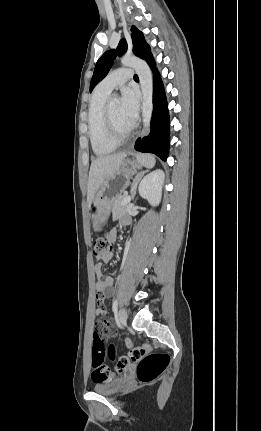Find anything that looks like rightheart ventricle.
Wrapping results in <instances>:
<instances>
[{"mask_svg": "<svg viewBox=\"0 0 261 431\" xmlns=\"http://www.w3.org/2000/svg\"><path fill=\"white\" fill-rule=\"evenodd\" d=\"M109 94L95 90L88 111V134L91 148L95 155L106 156L116 150L106 135L103 121V111Z\"/></svg>", "mask_w": 261, "mask_h": 431, "instance_id": "obj_1", "label": "right heart ventricle"}]
</instances>
